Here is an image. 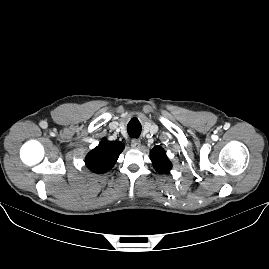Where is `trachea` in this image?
I'll list each match as a JSON object with an SVG mask.
<instances>
[{"label": "trachea", "mask_w": 269, "mask_h": 269, "mask_svg": "<svg viewBox=\"0 0 269 269\" xmlns=\"http://www.w3.org/2000/svg\"><path fill=\"white\" fill-rule=\"evenodd\" d=\"M128 133L131 137H138L140 135L138 131H128Z\"/></svg>", "instance_id": "obj_1"}]
</instances>
